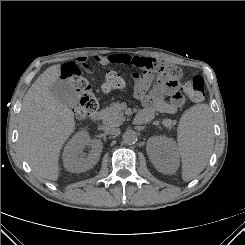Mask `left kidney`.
Returning a JSON list of instances; mask_svg holds the SVG:
<instances>
[{"label": "left kidney", "instance_id": "left-kidney-1", "mask_svg": "<svg viewBox=\"0 0 245 245\" xmlns=\"http://www.w3.org/2000/svg\"><path fill=\"white\" fill-rule=\"evenodd\" d=\"M147 154L155 166L162 173H173L179 166L177 146L172 138L153 136L146 145Z\"/></svg>", "mask_w": 245, "mask_h": 245}]
</instances>
